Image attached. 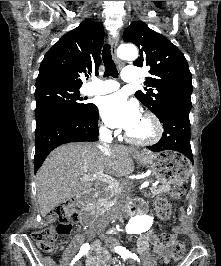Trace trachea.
Masks as SVG:
<instances>
[{
	"instance_id": "1",
	"label": "trachea",
	"mask_w": 221,
	"mask_h": 266,
	"mask_svg": "<svg viewBox=\"0 0 221 266\" xmlns=\"http://www.w3.org/2000/svg\"><path fill=\"white\" fill-rule=\"evenodd\" d=\"M102 59L105 66L104 76H112L113 78H118V71L112 59L110 45L107 43L104 45L102 50Z\"/></svg>"
}]
</instances>
